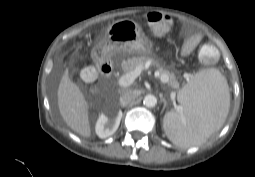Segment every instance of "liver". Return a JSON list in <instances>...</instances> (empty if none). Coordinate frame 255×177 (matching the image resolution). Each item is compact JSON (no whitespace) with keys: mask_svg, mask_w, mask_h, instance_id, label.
Here are the masks:
<instances>
[{"mask_svg":"<svg viewBox=\"0 0 255 177\" xmlns=\"http://www.w3.org/2000/svg\"><path fill=\"white\" fill-rule=\"evenodd\" d=\"M58 108L66 124L78 134L90 137L89 105L65 70L57 91Z\"/></svg>","mask_w":255,"mask_h":177,"instance_id":"obj_1","label":"liver"}]
</instances>
